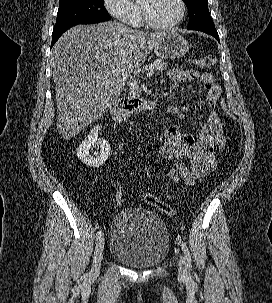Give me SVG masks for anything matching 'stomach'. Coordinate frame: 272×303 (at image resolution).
<instances>
[{"label":"stomach","instance_id":"obj_1","mask_svg":"<svg viewBox=\"0 0 272 303\" xmlns=\"http://www.w3.org/2000/svg\"><path fill=\"white\" fill-rule=\"evenodd\" d=\"M189 50V43L177 32H167L163 40L154 48L155 54L161 59L183 57Z\"/></svg>","mask_w":272,"mask_h":303}]
</instances>
